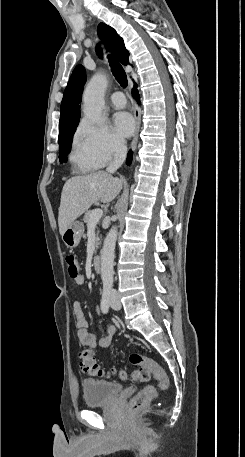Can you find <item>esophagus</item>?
<instances>
[{
    "label": "esophagus",
    "instance_id": "esophagus-1",
    "mask_svg": "<svg viewBox=\"0 0 245 457\" xmlns=\"http://www.w3.org/2000/svg\"><path fill=\"white\" fill-rule=\"evenodd\" d=\"M134 119L136 122V128H135V132H134V136H133V140H132V144H131L132 150L135 149L136 144L138 142V135H139L140 123H141V113H140V108L137 103H135V105H134Z\"/></svg>",
    "mask_w": 245,
    "mask_h": 457
}]
</instances>
